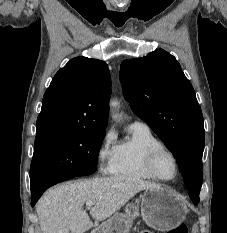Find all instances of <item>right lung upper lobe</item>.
I'll use <instances>...</instances> for the list:
<instances>
[{
  "label": "right lung upper lobe",
  "instance_id": "cb5924a9",
  "mask_svg": "<svg viewBox=\"0 0 227 233\" xmlns=\"http://www.w3.org/2000/svg\"><path fill=\"white\" fill-rule=\"evenodd\" d=\"M110 94L111 78L105 62L71 59L44 94L36 133L56 128L105 129Z\"/></svg>",
  "mask_w": 227,
  "mask_h": 233
}]
</instances>
